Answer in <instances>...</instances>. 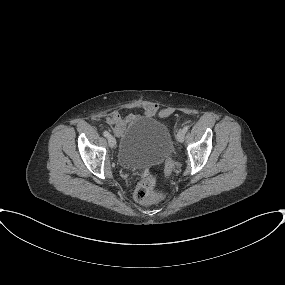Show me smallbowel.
<instances>
[{"instance_id":"c3829d8e","label":"small bowel","mask_w":285,"mask_h":285,"mask_svg":"<svg viewBox=\"0 0 285 285\" xmlns=\"http://www.w3.org/2000/svg\"><path fill=\"white\" fill-rule=\"evenodd\" d=\"M134 109L143 111L146 115L155 117L158 113V106L152 102H140L132 106ZM138 117L137 114L131 113L122 116L118 111H112L106 116V122L113 126V131L120 136L124 133L127 125Z\"/></svg>"}]
</instances>
